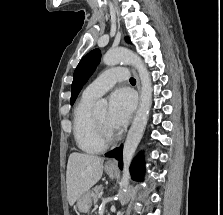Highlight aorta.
Wrapping results in <instances>:
<instances>
[{"label":"aorta","mask_w":223,"mask_h":215,"mask_svg":"<svg viewBox=\"0 0 223 215\" xmlns=\"http://www.w3.org/2000/svg\"><path fill=\"white\" fill-rule=\"evenodd\" d=\"M103 62L106 66H116V64H130V66H134L139 74L141 82L140 106L136 111V115L128 131L123 147L124 167L118 195L120 201H122L124 193H126V189L129 185V163L147 125L148 115L152 104V84L149 72L146 66H144L140 56H137V54H134L131 50H127V48H114V50H108L105 56H103ZM96 106L97 108L102 109V111H106L107 102L106 100H98Z\"/></svg>","instance_id":"obj_1"}]
</instances>
